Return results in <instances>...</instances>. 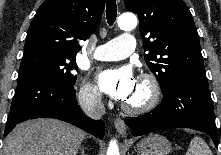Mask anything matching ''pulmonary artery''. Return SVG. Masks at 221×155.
<instances>
[{
	"instance_id": "obj_1",
	"label": "pulmonary artery",
	"mask_w": 221,
	"mask_h": 155,
	"mask_svg": "<svg viewBox=\"0 0 221 155\" xmlns=\"http://www.w3.org/2000/svg\"><path fill=\"white\" fill-rule=\"evenodd\" d=\"M135 49L133 35L124 33L96 48L94 57L101 61L121 60L130 55Z\"/></svg>"
}]
</instances>
